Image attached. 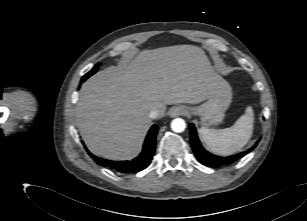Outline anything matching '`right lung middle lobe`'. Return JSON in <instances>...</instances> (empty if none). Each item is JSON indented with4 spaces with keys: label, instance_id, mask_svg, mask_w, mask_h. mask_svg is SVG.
<instances>
[{
    "label": "right lung middle lobe",
    "instance_id": "right-lung-middle-lobe-1",
    "mask_svg": "<svg viewBox=\"0 0 307 221\" xmlns=\"http://www.w3.org/2000/svg\"><path fill=\"white\" fill-rule=\"evenodd\" d=\"M100 64H97L93 67V69L88 72L84 77V79L86 80L88 77H90L91 75H93L97 70H98V67H99Z\"/></svg>",
    "mask_w": 307,
    "mask_h": 221
}]
</instances>
